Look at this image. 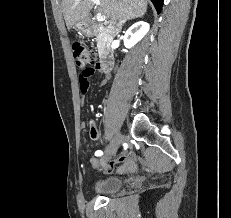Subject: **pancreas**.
Instances as JSON below:
<instances>
[{
	"label": "pancreas",
	"instance_id": "cf45deb5",
	"mask_svg": "<svg viewBox=\"0 0 231 218\" xmlns=\"http://www.w3.org/2000/svg\"><path fill=\"white\" fill-rule=\"evenodd\" d=\"M96 41H97V44H98V48H100V44L102 43V35L101 34L97 35Z\"/></svg>",
	"mask_w": 231,
	"mask_h": 218
}]
</instances>
